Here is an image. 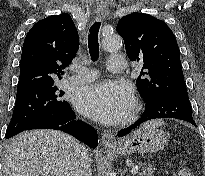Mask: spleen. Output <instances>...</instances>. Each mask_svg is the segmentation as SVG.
I'll return each instance as SVG.
<instances>
[{"label": "spleen", "instance_id": "1", "mask_svg": "<svg viewBox=\"0 0 205 176\" xmlns=\"http://www.w3.org/2000/svg\"><path fill=\"white\" fill-rule=\"evenodd\" d=\"M147 124H149V125H153V126H160V125H162V124H164V122L163 121H161V120H154V121H150L149 123H147Z\"/></svg>", "mask_w": 205, "mask_h": 176}]
</instances>
